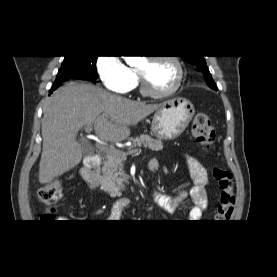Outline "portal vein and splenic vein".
Returning a JSON list of instances; mask_svg holds the SVG:
<instances>
[{
  "label": "portal vein and splenic vein",
  "instance_id": "portal-vein-and-splenic-vein-1",
  "mask_svg": "<svg viewBox=\"0 0 277 277\" xmlns=\"http://www.w3.org/2000/svg\"><path fill=\"white\" fill-rule=\"evenodd\" d=\"M92 129H91V126H87L86 127V131L90 132ZM98 148L104 152L107 156H110L111 154L113 153H116L118 152L116 149H114L113 147L111 146H104V144L102 142H99V144L97 145ZM141 150L139 149H136L134 152H140Z\"/></svg>",
  "mask_w": 277,
  "mask_h": 277
}]
</instances>
